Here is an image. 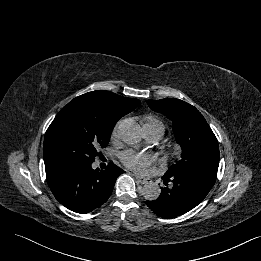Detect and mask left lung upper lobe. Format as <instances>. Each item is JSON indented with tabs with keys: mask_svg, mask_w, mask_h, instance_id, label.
Here are the masks:
<instances>
[{
	"mask_svg": "<svg viewBox=\"0 0 261 261\" xmlns=\"http://www.w3.org/2000/svg\"><path fill=\"white\" fill-rule=\"evenodd\" d=\"M147 104L172 120L176 141L182 149L181 159L165 174L196 170L216 177L220 157L218 141L202 114L179 99L147 100Z\"/></svg>",
	"mask_w": 261,
	"mask_h": 261,
	"instance_id": "5c2ea615",
	"label": "left lung upper lobe"
}]
</instances>
